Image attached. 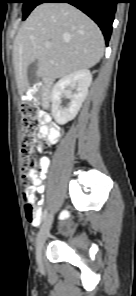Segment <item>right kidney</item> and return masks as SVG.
Wrapping results in <instances>:
<instances>
[{
    "label": "right kidney",
    "mask_w": 136,
    "mask_h": 296,
    "mask_svg": "<svg viewBox=\"0 0 136 296\" xmlns=\"http://www.w3.org/2000/svg\"><path fill=\"white\" fill-rule=\"evenodd\" d=\"M91 82V72L88 69H81L62 77L53 86L52 115L58 124H65L75 118L88 94ZM73 90H75L74 93ZM62 96L70 99L66 107L61 106Z\"/></svg>",
    "instance_id": "obj_1"
}]
</instances>
